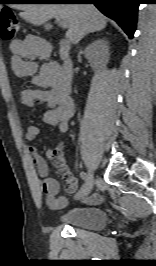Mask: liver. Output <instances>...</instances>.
I'll return each instance as SVG.
<instances>
[{
	"label": "liver",
	"mask_w": 156,
	"mask_h": 266,
	"mask_svg": "<svg viewBox=\"0 0 156 266\" xmlns=\"http://www.w3.org/2000/svg\"><path fill=\"white\" fill-rule=\"evenodd\" d=\"M20 17L33 25H41L52 18L67 23L66 38L77 44L85 35L103 30L106 17L89 4H16Z\"/></svg>",
	"instance_id": "liver-1"
}]
</instances>
